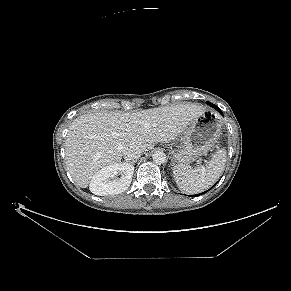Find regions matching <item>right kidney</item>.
<instances>
[{"label":"right kidney","instance_id":"ca27d5eb","mask_svg":"<svg viewBox=\"0 0 291 291\" xmlns=\"http://www.w3.org/2000/svg\"><path fill=\"white\" fill-rule=\"evenodd\" d=\"M133 171V166L121 162L104 167L92 177L90 191L99 196L121 193L130 185Z\"/></svg>","mask_w":291,"mask_h":291}]
</instances>
